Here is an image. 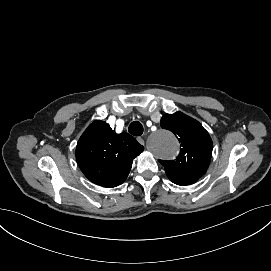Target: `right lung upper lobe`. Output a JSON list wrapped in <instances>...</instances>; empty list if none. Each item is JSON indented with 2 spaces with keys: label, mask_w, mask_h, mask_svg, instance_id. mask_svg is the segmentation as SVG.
Here are the masks:
<instances>
[{
  "label": "right lung upper lobe",
  "mask_w": 271,
  "mask_h": 271,
  "mask_svg": "<svg viewBox=\"0 0 271 271\" xmlns=\"http://www.w3.org/2000/svg\"><path fill=\"white\" fill-rule=\"evenodd\" d=\"M143 150L134 137L116 134L106 122L98 120L80 137L76 159L90 181L103 187H116L126 180L132 160Z\"/></svg>",
  "instance_id": "cb5924a9"
}]
</instances>
